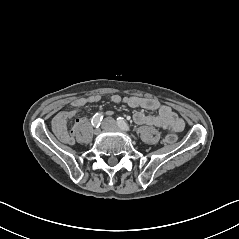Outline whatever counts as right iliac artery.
Masks as SVG:
<instances>
[{
	"label": "right iliac artery",
	"instance_id": "82829eb1",
	"mask_svg": "<svg viewBox=\"0 0 239 239\" xmlns=\"http://www.w3.org/2000/svg\"><path fill=\"white\" fill-rule=\"evenodd\" d=\"M102 119H103L102 113H100V112H99V113H96V114L93 116L91 123H92V125H93L95 128H98V127L100 126V124H101Z\"/></svg>",
	"mask_w": 239,
	"mask_h": 239
}]
</instances>
